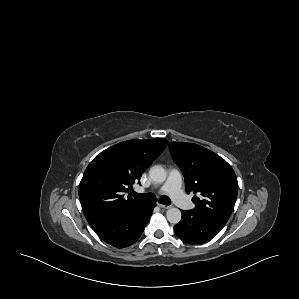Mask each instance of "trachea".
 Listing matches in <instances>:
<instances>
[{"mask_svg": "<svg viewBox=\"0 0 299 299\" xmlns=\"http://www.w3.org/2000/svg\"><path fill=\"white\" fill-rule=\"evenodd\" d=\"M132 195L136 199H139V200L144 201V202H155L156 201L155 196L152 195V194H139V193L133 192ZM159 203L164 204V205H170L171 200L168 197L163 196L159 199Z\"/></svg>", "mask_w": 299, "mask_h": 299, "instance_id": "1", "label": "trachea"}]
</instances>
